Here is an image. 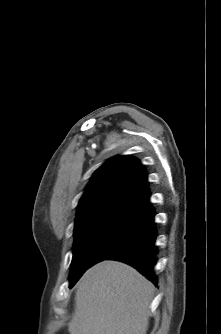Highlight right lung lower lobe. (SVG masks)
Instances as JSON below:
<instances>
[{"label":"right lung lower lobe","mask_w":221,"mask_h":334,"mask_svg":"<svg viewBox=\"0 0 221 334\" xmlns=\"http://www.w3.org/2000/svg\"><path fill=\"white\" fill-rule=\"evenodd\" d=\"M156 235L154 210H152L141 227L106 260L127 263L157 285V278L153 273L158 253L155 246Z\"/></svg>","instance_id":"right-lung-lower-lobe-1"}]
</instances>
